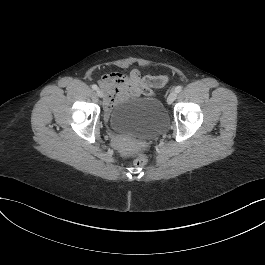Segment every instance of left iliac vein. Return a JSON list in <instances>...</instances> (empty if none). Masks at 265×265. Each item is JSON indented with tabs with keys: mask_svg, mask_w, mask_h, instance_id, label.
Here are the masks:
<instances>
[{
	"mask_svg": "<svg viewBox=\"0 0 265 265\" xmlns=\"http://www.w3.org/2000/svg\"><path fill=\"white\" fill-rule=\"evenodd\" d=\"M176 97H177V92L172 91L167 98V103L172 104L174 102V100L176 99Z\"/></svg>",
	"mask_w": 265,
	"mask_h": 265,
	"instance_id": "obj_1",
	"label": "left iliac vein"
}]
</instances>
